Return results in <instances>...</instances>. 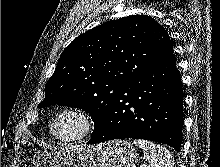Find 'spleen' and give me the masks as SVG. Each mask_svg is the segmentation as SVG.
Returning <instances> with one entry per match:
<instances>
[{
	"label": "spleen",
	"instance_id": "spleen-1",
	"mask_svg": "<svg viewBox=\"0 0 220 167\" xmlns=\"http://www.w3.org/2000/svg\"><path fill=\"white\" fill-rule=\"evenodd\" d=\"M133 143L143 150L145 167H173L174 160L166 148L142 139H135Z\"/></svg>",
	"mask_w": 220,
	"mask_h": 167
}]
</instances>
